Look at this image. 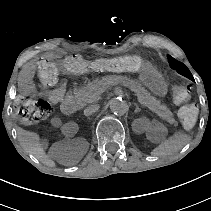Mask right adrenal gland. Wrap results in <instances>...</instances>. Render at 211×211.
Wrapping results in <instances>:
<instances>
[{"mask_svg":"<svg viewBox=\"0 0 211 211\" xmlns=\"http://www.w3.org/2000/svg\"><path fill=\"white\" fill-rule=\"evenodd\" d=\"M87 120L90 122V119L89 118H87Z\"/></svg>","mask_w":211,"mask_h":211,"instance_id":"obj_1","label":"right adrenal gland"}]
</instances>
